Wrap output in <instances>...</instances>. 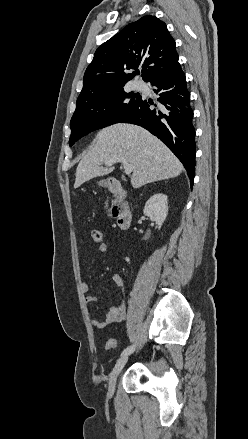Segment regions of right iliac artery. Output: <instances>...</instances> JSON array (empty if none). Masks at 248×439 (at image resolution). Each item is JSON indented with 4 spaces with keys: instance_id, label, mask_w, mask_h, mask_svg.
Here are the masks:
<instances>
[{
    "instance_id": "82829eb1",
    "label": "right iliac artery",
    "mask_w": 248,
    "mask_h": 439,
    "mask_svg": "<svg viewBox=\"0 0 248 439\" xmlns=\"http://www.w3.org/2000/svg\"><path fill=\"white\" fill-rule=\"evenodd\" d=\"M133 351H134V345L128 346L127 348H125L122 351L121 356L128 355V354L132 353Z\"/></svg>"
}]
</instances>
